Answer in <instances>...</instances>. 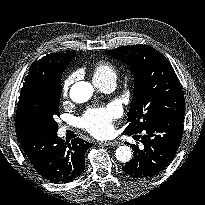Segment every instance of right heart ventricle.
<instances>
[{"instance_id":"right-heart-ventricle-1","label":"right heart ventricle","mask_w":205,"mask_h":205,"mask_svg":"<svg viewBox=\"0 0 205 205\" xmlns=\"http://www.w3.org/2000/svg\"><path fill=\"white\" fill-rule=\"evenodd\" d=\"M93 80L95 83H100L105 80L117 78V67L109 61H99L93 67Z\"/></svg>"}]
</instances>
